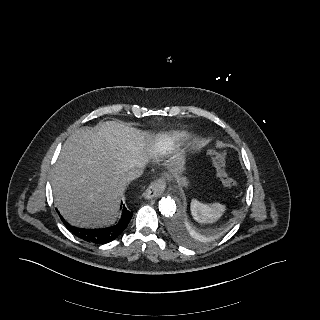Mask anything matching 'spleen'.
<instances>
[{"instance_id": "3e777b00", "label": "spleen", "mask_w": 320, "mask_h": 320, "mask_svg": "<svg viewBox=\"0 0 320 320\" xmlns=\"http://www.w3.org/2000/svg\"><path fill=\"white\" fill-rule=\"evenodd\" d=\"M226 207L220 203L205 204L198 200L191 202L193 218L201 224H209L217 221L225 212Z\"/></svg>"}]
</instances>
